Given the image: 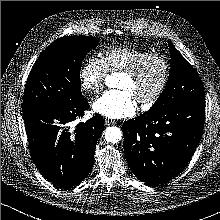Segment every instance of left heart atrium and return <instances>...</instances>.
Segmentation results:
<instances>
[{
	"label": "left heart atrium",
	"instance_id": "1",
	"mask_svg": "<svg viewBox=\"0 0 220 220\" xmlns=\"http://www.w3.org/2000/svg\"><path fill=\"white\" fill-rule=\"evenodd\" d=\"M94 112L112 119L130 117L137 111V102L133 94L126 89L105 92L94 101Z\"/></svg>",
	"mask_w": 220,
	"mask_h": 220
}]
</instances>
